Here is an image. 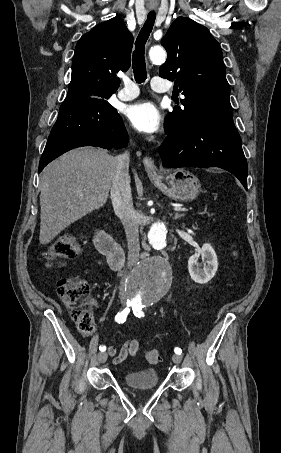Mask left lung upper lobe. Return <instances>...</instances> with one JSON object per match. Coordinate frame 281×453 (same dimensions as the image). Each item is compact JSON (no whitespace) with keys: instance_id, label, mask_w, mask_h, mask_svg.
<instances>
[{"instance_id":"5c2ea615","label":"left lung upper lobe","mask_w":281,"mask_h":453,"mask_svg":"<svg viewBox=\"0 0 281 453\" xmlns=\"http://www.w3.org/2000/svg\"><path fill=\"white\" fill-rule=\"evenodd\" d=\"M161 45L168 56L159 75L175 81L176 92L185 96L180 101L183 107L175 106L166 116V134L199 120L232 116L221 47L209 30L192 19L178 17Z\"/></svg>"}]
</instances>
